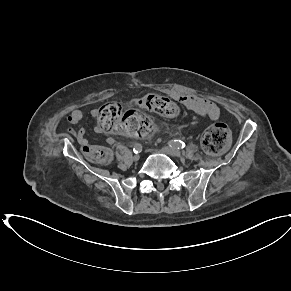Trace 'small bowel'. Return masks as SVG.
<instances>
[{
    "label": "small bowel",
    "mask_w": 291,
    "mask_h": 291,
    "mask_svg": "<svg viewBox=\"0 0 291 291\" xmlns=\"http://www.w3.org/2000/svg\"><path fill=\"white\" fill-rule=\"evenodd\" d=\"M178 100L190 111L204 118H207L209 120H217L220 116L219 107L213 101L207 98L196 96V95L184 94V95H180L178 97ZM91 113L93 116L96 115L95 110H93ZM83 117H84L83 112L79 109H75L68 115L67 122L70 125H76L83 119ZM95 131L99 132L100 130L99 128H96ZM68 132L76 138L77 142L81 146H85L88 144V139L86 137V130L84 128H80L77 130L70 128ZM107 142L112 144L114 143V139L108 138Z\"/></svg>",
    "instance_id": "1"
}]
</instances>
